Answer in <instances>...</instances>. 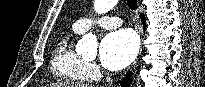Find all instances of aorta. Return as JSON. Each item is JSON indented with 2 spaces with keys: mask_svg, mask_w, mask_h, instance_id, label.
<instances>
[{
  "mask_svg": "<svg viewBox=\"0 0 205 87\" xmlns=\"http://www.w3.org/2000/svg\"><path fill=\"white\" fill-rule=\"evenodd\" d=\"M118 0H95L94 10L98 14L109 12L117 4ZM97 37L93 33H87L78 41L77 49L81 52L95 53L97 50Z\"/></svg>",
  "mask_w": 205,
  "mask_h": 87,
  "instance_id": "obj_1",
  "label": "aorta"
}]
</instances>
